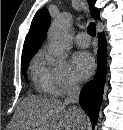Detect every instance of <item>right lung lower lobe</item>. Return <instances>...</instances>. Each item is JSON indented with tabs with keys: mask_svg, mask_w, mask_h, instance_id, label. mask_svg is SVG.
Masks as SVG:
<instances>
[{
	"mask_svg": "<svg viewBox=\"0 0 123 130\" xmlns=\"http://www.w3.org/2000/svg\"><path fill=\"white\" fill-rule=\"evenodd\" d=\"M98 69L93 80L85 84L80 93L79 103L91 119L92 127L96 125L106 76V40L104 34H98Z\"/></svg>",
	"mask_w": 123,
	"mask_h": 130,
	"instance_id": "obj_1",
	"label": "right lung lower lobe"
}]
</instances>
